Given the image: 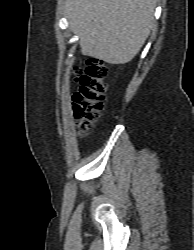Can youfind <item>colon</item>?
Instances as JSON below:
<instances>
[{
    "instance_id": "colon-1",
    "label": "colon",
    "mask_w": 194,
    "mask_h": 250,
    "mask_svg": "<svg viewBox=\"0 0 194 250\" xmlns=\"http://www.w3.org/2000/svg\"><path fill=\"white\" fill-rule=\"evenodd\" d=\"M108 74L109 70L105 64L90 59L84 71L76 75L79 88L73 95L72 108L82 132L88 131L101 115Z\"/></svg>"
}]
</instances>
